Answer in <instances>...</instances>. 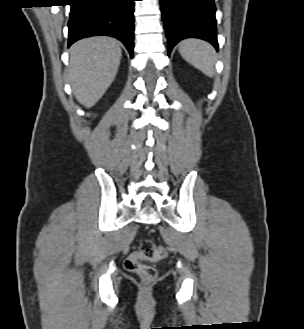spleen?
I'll use <instances>...</instances> for the list:
<instances>
[{"label": "spleen", "mask_w": 304, "mask_h": 329, "mask_svg": "<svg viewBox=\"0 0 304 329\" xmlns=\"http://www.w3.org/2000/svg\"><path fill=\"white\" fill-rule=\"evenodd\" d=\"M179 53L191 65L202 71L205 75H214L216 61L213 47L198 39H186L180 43Z\"/></svg>", "instance_id": "1"}]
</instances>
